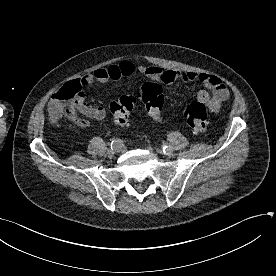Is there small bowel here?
<instances>
[{
	"label": "small bowel",
	"instance_id": "small-bowel-1",
	"mask_svg": "<svg viewBox=\"0 0 276 276\" xmlns=\"http://www.w3.org/2000/svg\"><path fill=\"white\" fill-rule=\"evenodd\" d=\"M136 72L164 84H172L177 81L202 83L211 93L206 90H200L197 93V100L203 103L211 113L219 112L223 102L229 97L227 87L215 75L197 72L183 73L155 65L136 66L130 60H122L118 64L97 68L93 73L84 75L78 81L83 89V87L91 85L94 82L107 83L111 80H119L122 77L131 76ZM80 115L93 120H103L106 117V109L103 106L89 104L82 93L75 103L74 111L70 115H67V117L77 126L88 127L89 122Z\"/></svg>",
	"mask_w": 276,
	"mask_h": 276
}]
</instances>
